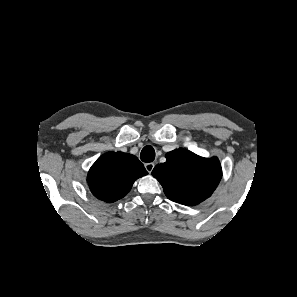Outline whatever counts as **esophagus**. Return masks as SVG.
<instances>
[{"label":"esophagus","mask_w":297,"mask_h":297,"mask_svg":"<svg viewBox=\"0 0 297 297\" xmlns=\"http://www.w3.org/2000/svg\"><path fill=\"white\" fill-rule=\"evenodd\" d=\"M154 163H146L145 164V169L149 172V173H151L152 172V170H153V168H154Z\"/></svg>","instance_id":"obj_1"}]
</instances>
